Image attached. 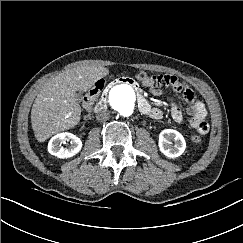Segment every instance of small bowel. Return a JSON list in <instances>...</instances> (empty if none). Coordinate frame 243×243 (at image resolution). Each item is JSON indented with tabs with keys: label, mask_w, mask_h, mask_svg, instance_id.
Instances as JSON below:
<instances>
[{
	"label": "small bowel",
	"mask_w": 243,
	"mask_h": 243,
	"mask_svg": "<svg viewBox=\"0 0 243 243\" xmlns=\"http://www.w3.org/2000/svg\"><path fill=\"white\" fill-rule=\"evenodd\" d=\"M164 76L167 79V84L164 86L169 87L176 93L182 94L184 100L186 101V112L190 116V126L196 129L200 134L206 135L209 132L210 127L206 120L207 110L204 103L197 97L193 90L184 81L179 80L174 75ZM154 93L162 94L163 88L160 87L155 89ZM171 116L177 123H182L184 120L183 113L175 102L171 104ZM150 117L159 119L162 117V112L157 108H152Z\"/></svg>",
	"instance_id": "small-bowel-1"
}]
</instances>
